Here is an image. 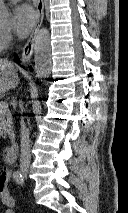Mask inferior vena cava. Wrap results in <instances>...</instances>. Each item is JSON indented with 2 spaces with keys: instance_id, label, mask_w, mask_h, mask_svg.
<instances>
[{
  "instance_id": "inferior-vena-cava-1",
  "label": "inferior vena cava",
  "mask_w": 128,
  "mask_h": 213,
  "mask_svg": "<svg viewBox=\"0 0 128 213\" xmlns=\"http://www.w3.org/2000/svg\"><path fill=\"white\" fill-rule=\"evenodd\" d=\"M21 105V102H20ZM22 107V105H21ZM21 156H20V167H28L31 161V152H30V140H29V131L26 128L24 119L21 118Z\"/></svg>"
}]
</instances>
